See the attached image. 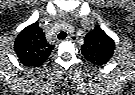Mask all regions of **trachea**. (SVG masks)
Segmentation results:
<instances>
[{
    "mask_svg": "<svg viewBox=\"0 0 135 95\" xmlns=\"http://www.w3.org/2000/svg\"><path fill=\"white\" fill-rule=\"evenodd\" d=\"M66 37H67V33L64 32V31H62V32H60V33L58 34V39H59V40H63V39H65Z\"/></svg>",
    "mask_w": 135,
    "mask_h": 95,
    "instance_id": "3493384b",
    "label": "trachea"
}]
</instances>
